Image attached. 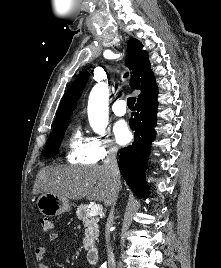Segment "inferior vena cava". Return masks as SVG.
Wrapping results in <instances>:
<instances>
[{
  "label": "inferior vena cava",
  "mask_w": 221,
  "mask_h": 268,
  "mask_svg": "<svg viewBox=\"0 0 221 268\" xmlns=\"http://www.w3.org/2000/svg\"><path fill=\"white\" fill-rule=\"evenodd\" d=\"M117 149L112 148L108 151V155L104 161L103 167L105 168L106 172L109 174V176L112 179V185H113V199L111 202V211L108 217V226L105 231V239H106V246H107V255H108V267L109 268H115L116 263H115V258H114V253L113 249L110 244V228L113 224L114 220V206L115 202L118 197V185L120 183V172L118 169V164H117Z\"/></svg>",
  "instance_id": "inferior-vena-cava-1"
}]
</instances>
